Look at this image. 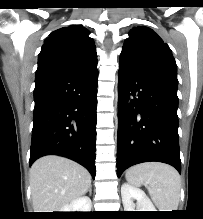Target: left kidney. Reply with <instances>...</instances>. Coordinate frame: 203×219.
<instances>
[{
	"label": "left kidney",
	"instance_id": "5707ae66",
	"mask_svg": "<svg viewBox=\"0 0 203 219\" xmlns=\"http://www.w3.org/2000/svg\"><path fill=\"white\" fill-rule=\"evenodd\" d=\"M121 196L125 211H136V207L138 211H156L145 192L131 184L124 183L121 186ZM133 199L137 201L136 205Z\"/></svg>",
	"mask_w": 203,
	"mask_h": 219
}]
</instances>
